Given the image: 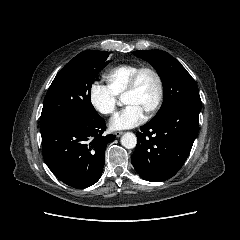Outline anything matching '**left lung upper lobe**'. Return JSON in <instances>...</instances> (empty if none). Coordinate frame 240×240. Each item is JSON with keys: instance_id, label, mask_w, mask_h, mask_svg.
<instances>
[{"instance_id": "1", "label": "left lung upper lobe", "mask_w": 240, "mask_h": 240, "mask_svg": "<svg viewBox=\"0 0 240 240\" xmlns=\"http://www.w3.org/2000/svg\"><path fill=\"white\" fill-rule=\"evenodd\" d=\"M133 54L149 62L162 80L164 101L155 117L180 103L201 104L196 82L174 57L162 50L134 51Z\"/></svg>"}]
</instances>
